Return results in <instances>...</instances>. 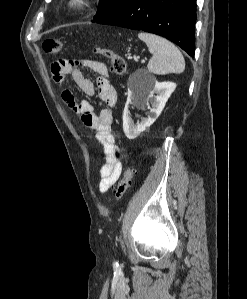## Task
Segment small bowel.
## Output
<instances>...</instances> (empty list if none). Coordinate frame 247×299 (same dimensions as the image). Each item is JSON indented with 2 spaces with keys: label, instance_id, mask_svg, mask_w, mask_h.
Listing matches in <instances>:
<instances>
[{
  "label": "small bowel",
  "instance_id": "small-bowel-1",
  "mask_svg": "<svg viewBox=\"0 0 247 299\" xmlns=\"http://www.w3.org/2000/svg\"><path fill=\"white\" fill-rule=\"evenodd\" d=\"M81 67L88 68L96 74V84L84 76ZM51 70L58 85L70 75L85 94H97L106 105V108L96 113L87 100L77 101L71 90L64 89L61 93L65 104L80 115L87 128L96 132V138L102 145L105 163L99 171V190L106 193L117 182L122 172L120 151L111 128V109L116 104L117 92L109 80L108 67L105 63L94 60H57L53 62Z\"/></svg>",
  "mask_w": 247,
  "mask_h": 299
}]
</instances>
